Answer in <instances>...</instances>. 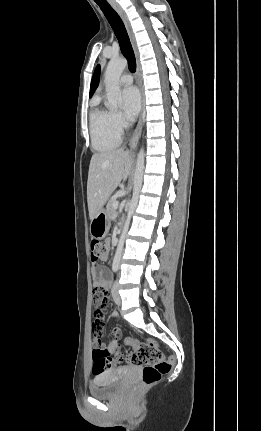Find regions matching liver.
<instances>
[{
	"label": "liver",
	"mask_w": 261,
	"mask_h": 431,
	"mask_svg": "<svg viewBox=\"0 0 261 431\" xmlns=\"http://www.w3.org/2000/svg\"><path fill=\"white\" fill-rule=\"evenodd\" d=\"M132 164V156L123 149L92 155L87 181L90 220L103 207L120 182L127 179Z\"/></svg>",
	"instance_id": "liver-1"
}]
</instances>
